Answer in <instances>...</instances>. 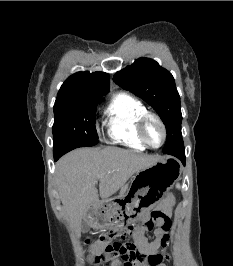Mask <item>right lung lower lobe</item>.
<instances>
[{"label":"right lung lower lobe","instance_id":"right-lung-lower-lobe-1","mask_svg":"<svg viewBox=\"0 0 233 266\" xmlns=\"http://www.w3.org/2000/svg\"><path fill=\"white\" fill-rule=\"evenodd\" d=\"M61 156H62V155H60V154H56V155H54V160L57 161Z\"/></svg>","mask_w":233,"mask_h":266}]
</instances>
